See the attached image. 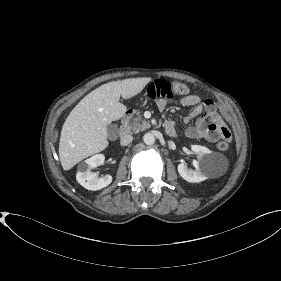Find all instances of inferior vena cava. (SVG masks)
Listing matches in <instances>:
<instances>
[{
    "label": "inferior vena cava",
    "mask_w": 281,
    "mask_h": 281,
    "mask_svg": "<svg viewBox=\"0 0 281 281\" xmlns=\"http://www.w3.org/2000/svg\"><path fill=\"white\" fill-rule=\"evenodd\" d=\"M133 141V137L130 134H125L121 137L120 139V144L122 146H126L128 144H130Z\"/></svg>",
    "instance_id": "1"
}]
</instances>
